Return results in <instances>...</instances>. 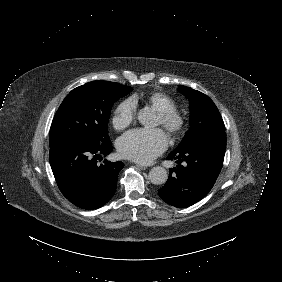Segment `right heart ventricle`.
<instances>
[{
	"instance_id": "right-heart-ventricle-1",
	"label": "right heart ventricle",
	"mask_w": 282,
	"mask_h": 282,
	"mask_svg": "<svg viewBox=\"0 0 282 282\" xmlns=\"http://www.w3.org/2000/svg\"><path fill=\"white\" fill-rule=\"evenodd\" d=\"M139 101V96L135 95L129 100V104L135 108ZM147 103L157 112L175 111L176 106L173 100L162 92H154L146 97Z\"/></svg>"
}]
</instances>
